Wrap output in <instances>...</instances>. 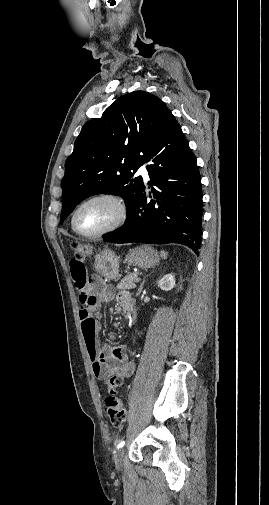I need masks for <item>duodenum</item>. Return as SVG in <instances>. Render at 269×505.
<instances>
[{
  "label": "duodenum",
  "mask_w": 269,
  "mask_h": 505,
  "mask_svg": "<svg viewBox=\"0 0 269 505\" xmlns=\"http://www.w3.org/2000/svg\"><path fill=\"white\" fill-rule=\"evenodd\" d=\"M126 310H127V312H129V313L131 312V309H129V308H127Z\"/></svg>",
  "instance_id": "410a0bca"
}]
</instances>
